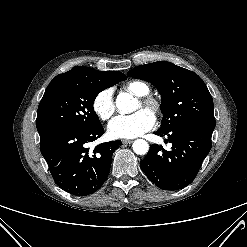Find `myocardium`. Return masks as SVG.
I'll use <instances>...</instances> for the list:
<instances>
[{"label":"myocardium","mask_w":247,"mask_h":247,"mask_svg":"<svg viewBox=\"0 0 247 247\" xmlns=\"http://www.w3.org/2000/svg\"><path fill=\"white\" fill-rule=\"evenodd\" d=\"M139 103L143 108L147 109L154 115H157L161 112V102L153 96H142L140 97Z\"/></svg>","instance_id":"1"}]
</instances>
